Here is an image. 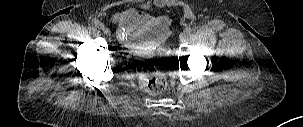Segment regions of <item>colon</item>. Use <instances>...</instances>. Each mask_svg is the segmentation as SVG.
<instances>
[{"label": "colon", "instance_id": "obj_1", "mask_svg": "<svg viewBox=\"0 0 303 127\" xmlns=\"http://www.w3.org/2000/svg\"><path fill=\"white\" fill-rule=\"evenodd\" d=\"M136 78L138 86L147 93L160 94L166 90V77L157 62H140L136 70Z\"/></svg>", "mask_w": 303, "mask_h": 127}]
</instances>
